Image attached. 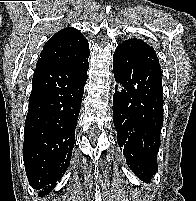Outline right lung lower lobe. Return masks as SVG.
I'll use <instances>...</instances> for the list:
<instances>
[{"label":"right lung lower lobe","mask_w":196,"mask_h":201,"mask_svg":"<svg viewBox=\"0 0 196 201\" xmlns=\"http://www.w3.org/2000/svg\"><path fill=\"white\" fill-rule=\"evenodd\" d=\"M88 68L87 61L34 71L23 159L28 180L39 194L53 189L70 164Z\"/></svg>","instance_id":"obj_1"}]
</instances>
